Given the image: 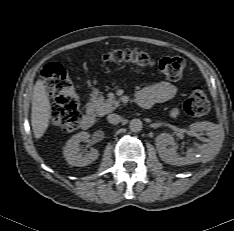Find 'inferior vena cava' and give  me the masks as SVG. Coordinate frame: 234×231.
I'll return each instance as SVG.
<instances>
[{"mask_svg":"<svg viewBox=\"0 0 234 231\" xmlns=\"http://www.w3.org/2000/svg\"><path fill=\"white\" fill-rule=\"evenodd\" d=\"M119 119H120V116L117 114H109L107 116V120L112 124L116 123Z\"/></svg>","mask_w":234,"mask_h":231,"instance_id":"obj_1","label":"inferior vena cava"}]
</instances>
